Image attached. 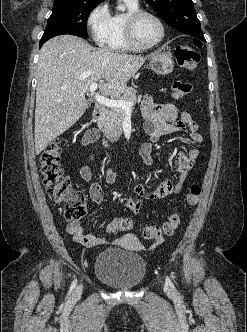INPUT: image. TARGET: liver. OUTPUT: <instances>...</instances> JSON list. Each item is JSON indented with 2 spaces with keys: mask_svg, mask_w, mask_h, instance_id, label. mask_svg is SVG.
<instances>
[{
  "mask_svg": "<svg viewBox=\"0 0 247 332\" xmlns=\"http://www.w3.org/2000/svg\"><path fill=\"white\" fill-rule=\"evenodd\" d=\"M147 57L94 49L74 35L47 41L39 52L35 108V152L73 126L88 107L85 95L93 83L119 97Z\"/></svg>",
  "mask_w": 247,
  "mask_h": 332,
  "instance_id": "6515ba94",
  "label": "liver"
}]
</instances>
